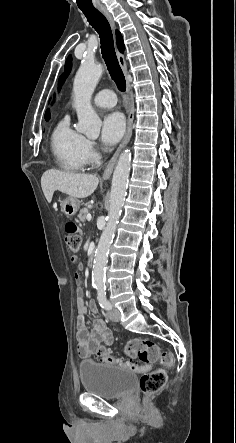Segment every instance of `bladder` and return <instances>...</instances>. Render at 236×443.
Returning <instances> with one entry per match:
<instances>
[{
	"label": "bladder",
	"mask_w": 236,
	"mask_h": 443,
	"mask_svg": "<svg viewBox=\"0 0 236 443\" xmlns=\"http://www.w3.org/2000/svg\"><path fill=\"white\" fill-rule=\"evenodd\" d=\"M79 371L85 392L104 399L125 397L136 384L133 371L90 360L81 361Z\"/></svg>",
	"instance_id": "31cf9c89"
}]
</instances>
